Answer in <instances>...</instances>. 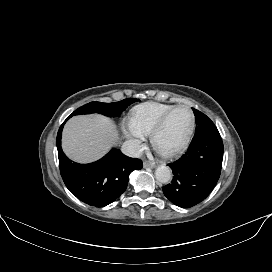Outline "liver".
I'll return each mask as SVG.
<instances>
[{"label":"liver","instance_id":"1","mask_svg":"<svg viewBox=\"0 0 272 272\" xmlns=\"http://www.w3.org/2000/svg\"><path fill=\"white\" fill-rule=\"evenodd\" d=\"M119 140L116 125L103 115L72 117L62 134L64 153L78 163H90L100 159Z\"/></svg>","mask_w":272,"mask_h":272}]
</instances>
